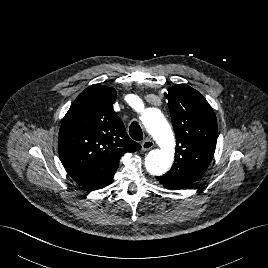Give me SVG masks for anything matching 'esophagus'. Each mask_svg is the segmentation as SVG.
<instances>
[{"instance_id":"esophagus-1","label":"esophagus","mask_w":268,"mask_h":268,"mask_svg":"<svg viewBox=\"0 0 268 268\" xmlns=\"http://www.w3.org/2000/svg\"><path fill=\"white\" fill-rule=\"evenodd\" d=\"M142 150H150L154 147V142L151 139H146L142 142Z\"/></svg>"}]
</instances>
